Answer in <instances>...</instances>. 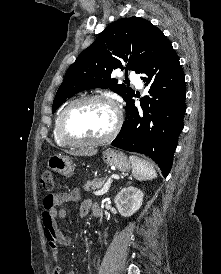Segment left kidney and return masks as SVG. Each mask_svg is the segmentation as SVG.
Returning a JSON list of instances; mask_svg holds the SVG:
<instances>
[{
	"mask_svg": "<svg viewBox=\"0 0 221 274\" xmlns=\"http://www.w3.org/2000/svg\"><path fill=\"white\" fill-rule=\"evenodd\" d=\"M143 192L136 187L123 188L115 197L114 202L119 213L124 217L133 215L142 205Z\"/></svg>",
	"mask_w": 221,
	"mask_h": 274,
	"instance_id": "left-kidney-1",
	"label": "left kidney"
}]
</instances>
